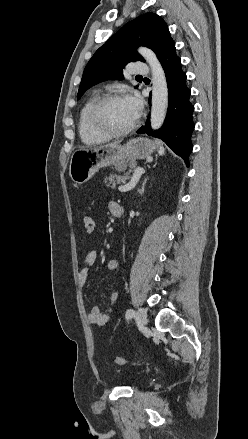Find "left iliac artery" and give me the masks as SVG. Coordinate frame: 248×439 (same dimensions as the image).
<instances>
[{
    "label": "left iliac artery",
    "mask_w": 248,
    "mask_h": 439,
    "mask_svg": "<svg viewBox=\"0 0 248 439\" xmlns=\"http://www.w3.org/2000/svg\"><path fill=\"white\" fill-rule=\"evenodd\" d=\"M135 312L133 309H127L125 317L126 319H131L134 316Z\"/></svg>",
    "instance_id": "obj_1"
}]
</instances>
